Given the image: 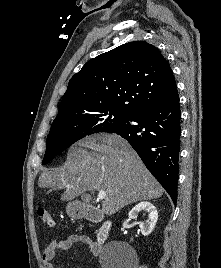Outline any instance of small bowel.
<instances>
[{
	"instance_id": "1",
	"label": "small bowel",
	"mask_w": 221,
	"mask_h": 268,
	"mask_svg": "<svg viewBox=\"0 0 221 268\" xmlns=\"http://www.w3.org/2000/svg\"><path fill=\"white\" fill-rule=\"evenodd\" d=\"M75 244L86 246L89 253L97 255L99 252V245L87 235L71 234L64 239L53 240L42 253V262L44 268H55L53 260L59 250L70 249Z\"/></svg>"
}]
</instances>
